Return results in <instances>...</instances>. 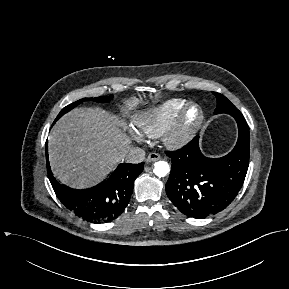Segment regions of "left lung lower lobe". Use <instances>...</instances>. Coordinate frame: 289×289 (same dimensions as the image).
I'll list each match as a JSON object with an SVG mask.
<instances>
[{
	"mask_svg": "<svg viewBox=\"0 0 289 289\" xmlns=\"http://www.w3.org/2000/svg\"><path fill=\"white\" fill-rule=\"evenodd\" d=\"M238 140L226 156L212 159L199 149V136L166 152L172 168L166 193L185 215L202 219L225 209L241 189L249 165L250 134L244 116H236Z\"/></svg>",
	"mask_w": 289,
	"mask_h": 289,
	"instance_id": "0a47b994",
	"label": "left lung lower lobe"
}]
</instances>
